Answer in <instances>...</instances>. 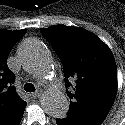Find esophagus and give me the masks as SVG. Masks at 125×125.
Returning a JSON list of instances; mask_svg holds the SVG:
<instances>
[{
  "label": "esophagus",
  "mask_w": 125,
  "mask_h": 125,
  "mask_svg": "<svg viewBox=\"0 0 125 125\" xmlns=\"http://www.w3.org/2000/svg\"><path fill=\"white\" fill-rule=\"evenodd\" d=\"M30 96L34 99L39 98L41 96V92H38V91L34 92V93L30 94Z\"/></svg>",
  "instance_id": "obj_1"
}]
</instances>
